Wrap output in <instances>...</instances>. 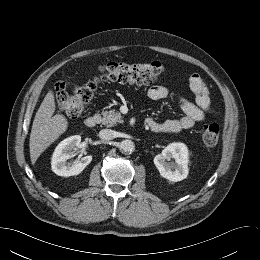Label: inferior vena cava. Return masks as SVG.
I'll use <instances>...</instances> for the list:
<instances>
[{"label":"inferior vena cava","mask_w":260,"mask_h":260,"mask_svg":"<svg viewBox=\"0 0 260 260\" xmlns=\"http://www.w3.org/2000/svg\"><path fill=\"white\" fill-rule=\"evenodd\" d=\"M99 137L103 140H111L114 138V131L111 129H103L99 132Z\"/></svg>","instance_id":"inferior-vena-cava-1"}]
</instances>
